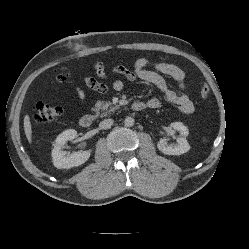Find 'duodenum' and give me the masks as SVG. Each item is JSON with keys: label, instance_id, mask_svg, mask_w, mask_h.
<instances>
[{"label": "duodenum", "instance_id": "obj_1", "mask_svg": "<svg viewBox=\"0 0 249 249\" xmlns=\"http://www.w3.org/2000/svg\"><path fill=\"white\" fill-rule=\"evenodd\" d=\"M146 108V104L140 101H136L132 104V109L134 111H142ZM93 122V116L91 114H85L83 115L80 120H79V124L81 127L83 128H88L91 126Z\"/></svg>", "mask_w": 249, "mask_h": 249}]
</instances>
